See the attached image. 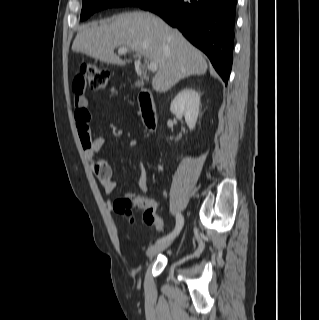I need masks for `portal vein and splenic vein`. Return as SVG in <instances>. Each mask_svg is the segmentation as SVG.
I'll return each mask as SVG.
<instances>
[{
	"label": "portal vein and splenic vein",
	"instance_id": "18ae733b",
	"mask_svg": "<svg viewBox=\"0 0 319 320\" xmlns=\"http://www.w3.org/2000/svg\"><path fill=\"white\" fill-rule=\"evenodd\" d=\"M128 51H129V49L126 48V47H120L119 50H118V52H119L120 54H125V53H127ZM145 63H146V65H147V68H148L149 71H151V72H156V71H157V69H158L157 63H155V62H149V61H147L146 59H145Z\"/></svg>",
	"mask_w": 319,
	"mask_h": 320
}]
</instances>
